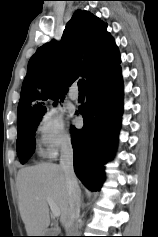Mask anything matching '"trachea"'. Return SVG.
Segmentation results:
<instances>
[{
	"mask_svg": "<svg viewBox=\"0 0 158 237\" xmlns=\"http://www.w3.org/2000/svg\"><path fill=\"white\" fill-rule=\"evenodd\" d=\"M78 89L80 92H85L86 91V86H85V80L81 79L78 81Z\"/></svg>",
	"mask_w": 158,
	"mask_h": 237,
	"instance_id": "3493384b",
	"label": "trachea"
}]
</instances>
